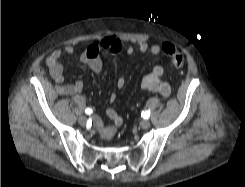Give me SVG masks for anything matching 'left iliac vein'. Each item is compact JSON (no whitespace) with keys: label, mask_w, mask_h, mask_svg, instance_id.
Here are the masks:
<instances>
[{"label":"left iliac vein","mask_w":245,"mask_h":187,"mask_svg":"<svg viewBox=\"0 0 245 187\" xmlns=\"http://www.w3.org/2000/svg\"><path fill=\"white\" fill-rule=\"evenodd\" d=\"M140 127L143 129H147L150 127V121L148 119H144L139 123Z\"/></svg>","instance_id":"4c4485c4"}]
</instances>
